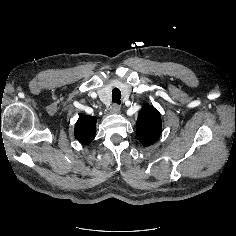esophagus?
Instances as JSON below:
<instances>
[{
	"mask_svg": "<svg viewBox=\"0 0 236 236\" xmlns=\"http://www.w3.org/2000/svg\"><path fill=\"white\" fill-rule=\"evenodd\" d=\"M110 111L113 114H118V113H120V106L118 104H113L110 108Z\"/></svg>",
	"mask_w": 236,
	"mask_h": 236,
	"instance_id": "34e87169",
	"label": "esophagus"
}]
</instances>
